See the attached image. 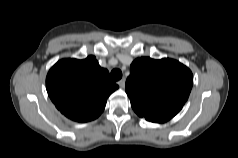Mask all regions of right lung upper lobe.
Wrapping results in <instances>:
<instances>
[{
	"instance_id": "right-lung-upper-lobe-1",
	"label": "right lung upper lobe",
	"mask_w": 238,
	"mask_h": 158,
	"mask_svg": "<svg viewBox=\"0 0 238 158\" xmlns=\"http://www.w3.org/2000/svg\"><path fill=\"white\" fill-rule=\"evenodd\" d=\"M46 89L57 109L77 122L96 119L118 86L94 56L62 59L48 72Z\"/></svg>"
}]
</instances>
